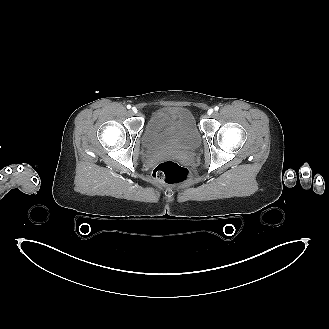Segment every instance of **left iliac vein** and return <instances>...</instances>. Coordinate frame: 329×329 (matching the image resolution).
<instances>
[{"instance_id": "obj_1", "label": "left iliac vein", "mask_w": 329, "mask_h": 329, "mask_svg": "<svg viewBox=\"0 0 329 329\" xmlns=\"http://www.w3.org/2000/svg\"><path fill=\"white\" fill-rule=\"evenodd\" d=\"M212 113H213V109L212 108L208 109L207 114L211 115Z\"/></svg>"}]
</instances>
